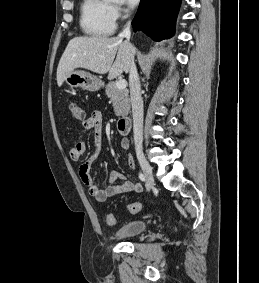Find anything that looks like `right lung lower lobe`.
<instances>
[{
    "mask_svg": "<svg viewBox=\"0 0 259 283\" xmlns=\"http://www.w3.org/2000/svg\"><path fill=\"white\" fill-rule=\"evenodd\" d=\"M180 3L181 0H141L132 21L134 31L142 30L157 41L172 37Z\"/></svg>",
    "mask_w": 259,
    "mask_h": 283,
    "instance_id": "right-lung-lower-lobe-1",
    "label": "right lung lower lobe"
}]
</instances>
